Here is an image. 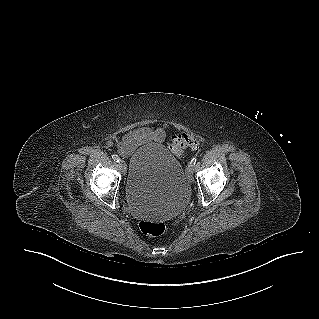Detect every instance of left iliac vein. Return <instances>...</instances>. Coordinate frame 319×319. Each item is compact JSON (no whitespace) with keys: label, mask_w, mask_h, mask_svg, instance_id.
Returning a JSON list of instances; mask_svg holds the SVG:
<instances>
[{"label":"left iliac vein","mask_w":319,"mask_h":319,"mask_svg":"<svg viewBox=\"0 0 319 319\" xmlns=\"http://www.w3.org/2000/svg\"><path fill=\"white\" fill-rule=\"evenodd\" d=\"M193 172H194V169H193V166H191L190 164L188 165L187 169H186V175H187V179L190 183L193 182Z\"/></svg>","instance_id":"obj_1"}]
</instances>
